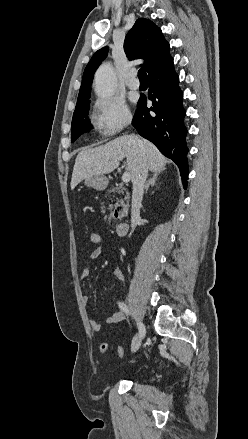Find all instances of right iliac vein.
<instances>
[{"instance_id":"obj_1","label":"right iliac vein","mask_w":248,"mask_h":439,"mask_svg":"<svg viewBox=\"0 0 248 439\" xmlns=\"http://www.w3.org/2000/svg\"><path fill=\"white\" fill-rule=\"evenodd\" d=\"M144 337L145 336H142V337H140L139 335L137 336L136 341L132 344V347H131L132 352H136L139 349V347L141 345V341L143 340Z\"/></svg>"}]
</instances>
